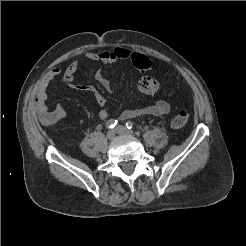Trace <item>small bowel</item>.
Returning <instances> with one entry per match:
<instances>
[{"instance_id":"c3829d8e","label":"small bowel","mask_w":246,"mask_h":246,"mask_svg":"<svg viewBox=\"0 0 246 246\" xmlns=\"http://www.w3.org/2000/svg\"><path fill=\"white\" fill-rule=\"evenodd\" d=\"M132 52L124 47H118L111 51L102 52H86L84 57L87 60L101 62L103 64H112L118 60H126L131 58ZM79 67V62L75 61L71 63L64 71L58 67L52 68L38 83L36 94H35V109L36 112L44 124H54L62 120L66 116L65 110L61 106H55L50 109L47 104V90L50 84L58 79L63 84L82 91H88L93 94L96 103L100 107L98 112L99 118L102 120L107 119L108 112L105 108L106 98L93 86L86 85L82 86L75 83V76L77 69ZM95 80L100 83L107 91L111 92L112 87L110 81L105 77L102 71H97L94 75ZM170 112V104L166 101L159 100L151 105H147L136 109H126L124 110L120 118L122 120H127L139 116H163Z\"/></svg>"}]
</instances>
